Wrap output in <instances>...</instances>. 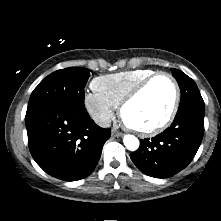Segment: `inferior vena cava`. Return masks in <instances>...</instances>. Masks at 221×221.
I'll return each instance as SVG.
<instances>
[{
	"instance_id": "obj_1",
	"label": "inferior vena cava",
	"mask_w": 221,
	"mask_h": 221,
	"mask_svg": "<svg viewBox=\"0 0 221 221\" xmlns=\"http://www.w3.org/2000/svg\"><path fill=\"white\" fill-rule=\"evenodd\" d=\"M94 121L103 128H108L111 126V120L109 117L104 115L94 116Z\"/></svg>"
}]
</instances>
